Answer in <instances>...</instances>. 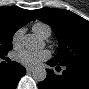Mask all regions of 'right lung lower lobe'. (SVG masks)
I'll return each mask as SVG.
<instances>
[{"label":"right lung lower lobe","instance_id":"right-lung-lower-lobe-1","mask_svg":"<svg viewBox=\"0 0 89 89\" xmlns=\"http://www.w3.org/2000/svg\"><path fill=\"white\" fill-rule=\"evenodd\" d=\"M26 74L25 68L17 62L10 61L0 70V88L15 89L22 76Z\"/></svg>","mask_w":89,"mask_h":89}]
</instances>
